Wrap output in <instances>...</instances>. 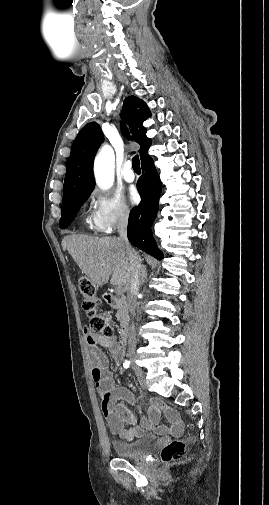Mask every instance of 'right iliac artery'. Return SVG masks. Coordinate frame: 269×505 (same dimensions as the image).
<instances>
[{"instance_id":"obj_1","label":"right iliac artery","mask_w":269,"mask_h":505,"mask_svg":"<svg viewBox=\"0 0 269 505\" xmlns=\"http://www.w3.org/2000/svg\"><path fill=\"white\" fill-rule=\"evenodd\" d=\"M123 366H124L125 368H129V367H130V361L125 360V362L123 363Z\"/></svg>"}]
</instances>
